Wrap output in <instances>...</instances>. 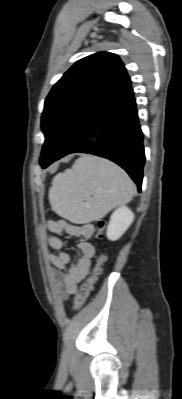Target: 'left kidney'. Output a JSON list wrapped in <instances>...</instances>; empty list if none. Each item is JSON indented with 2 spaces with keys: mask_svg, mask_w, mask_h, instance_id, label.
<instances>
[{
  "mask_svg": "<svg viewBox=\"0 0 182 399\" xmlns=\"http://www.w3.org/2000/svg\"><path fill=\"white\" fill-rule=\"evenodd\" d=\"M134 220V213L125 205L117 208L111 215L107 226L106 236L116 241L126 232Z\"/></svg>",
  "mask_w": 182,
  "mask_h": 399,
  "instance_id": "1",
  "label": "left kidney"
}]
</instances>
